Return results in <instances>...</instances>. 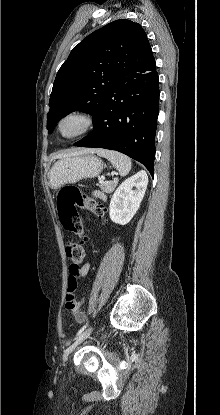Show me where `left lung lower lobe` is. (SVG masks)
Segmentation results:
<instances>
[{"label":"left lung lower lobe","instance_id":"0a47b994","mask_svg":"<svg viewBox=\"0 0 220 415\" xmlns=\"http://www.w3.org/2000/svg\"><path fill=\"white\" fill-rule=\"evenodd\" d=\"M159 81L154 57L121 75L93 118V131L74 146L116 150L141 162L154 175Z\"/></svg>","mask_w":220,"mask_h":415}]
</instances>
